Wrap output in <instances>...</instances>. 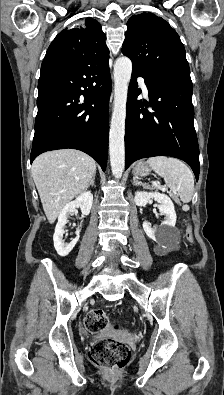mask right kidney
<instances>
[{
    "mask_svg": "<svg viewBox=\"0 0 224 395\" xmlns=\"http://www.w3.org/2000/svg\"><path fill=\"white\" fill-rule=\"evenodd\" d=\"M93 203V194L91 191H86L78 196L74 201L69 202L64 206L61 213L58 216V222L55 227V233L53 235L54 247L58 255L65 257L74 248L80 237L81 229L76 231V237L72 239L69 244H65L62 240L64 231V226L67 224V217L76 211V208H80L83 215H88L90 213Z\"/></svg>",
    "mask_w": 224,
    "mask_h": 395,
    "instance_id": "ca27d5eb",
    "label": "right kidney"
}]
</instances>
